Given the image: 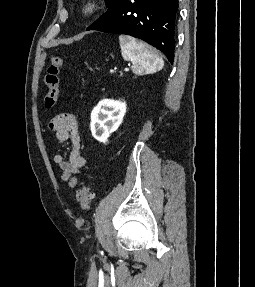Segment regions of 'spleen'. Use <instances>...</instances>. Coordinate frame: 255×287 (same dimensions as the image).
<instances>
[{
    "label": "spleen",
    "instance_id": "1",
    "mask_svg": "<svg viewBox=\"0 0 255 287\" xmlns=\"http://www.w3.org/2000/svg\"><path fill=\"white\" fill-rule=\"evenodd\" d=\"M121 52L124 60L133 62L135 70H149V72H159L164 66L162 58L150 50L144 42H137L131 36H119Z\"/></svg>",
    "mask_w": 255,
    "mask_h": 287
}]
</instances>
